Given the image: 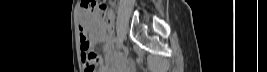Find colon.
<instances>
[{
	"label": "colon",
	"mask_w": 267,
	"mask_h": 72,
	"mask_svg": "<svg viewBox=\"0 0 267 72\" xmlns=\"http://www.w3.org/2000/svg\"><path fill=\"white\" fill-rule=\"evenodd\" d=\"M83 4L88 8V10L96 15L103 17L105 21V27H108V22L106 19L107 12V1L105 0H84ZM90 44L87 40H83L81 43V49L86 51V63L84 64L85 72H96L97 67L100 63V57L98 54L89 51Z\"/></svg>",
	"instance_id": "colon-1"
}]
</instances>
